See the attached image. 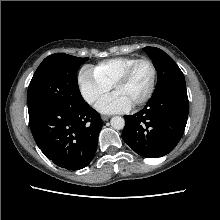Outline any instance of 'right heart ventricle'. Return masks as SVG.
Wrapping results in <instances>:
<instances>
[{
  "instance_id": "1",
  "label": "right heart ventricle",
  "mask_w": 220,
  "mask_h": 220,
  "mask_svg": "<svg viewBox=\"0 0 220 220\" xmlns=\"http://www.w3.org/2000/svg\"><path fill=\"white\" fill-rule=\"evenodd\" d=\"M138 58L133 56H121L106 59L93 67L95 75L108 86L112 87L116 80Z\"/></svg>"
}]
</instances>
